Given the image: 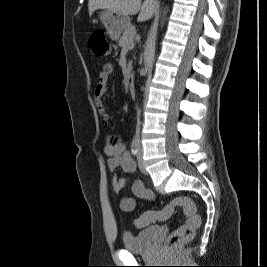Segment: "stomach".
<instances>
[{
	"mask_svg": "<svg viewBox=\"0 0 267 267\" xmlns=\"http://www.w3.org/2000/svg\"><path fill=\"white\" fill-rule=\"evenodd\" d=\"M99 19L104 25L109 37L114 41H117L121 33L130 25L128 16L110 10L101 11Z\"/></svg>",
	"mask_w": 267,
	"mask_h": 267,
	"instance_id": "stomach-1",
	"label": "stomach"
}]
</instances>
